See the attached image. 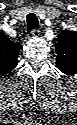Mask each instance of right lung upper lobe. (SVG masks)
Segmentation results:
<instances>
[{
  "label": "right lung upper lobe",
  "mask_w": 77,
  "mask_h": 125,
  "mask_svg": "<svg viewBox=\"0 0 77 125\" xmlns=\"http://www.w3.org/2000/svg\"><path fill=\"white\" fill-rule=\"evenodd\" d=\"M19 43H13L4 34H0V74H6L17 66Z\"/></svg>",
  "instance_id": "1"
}]
</instances>
